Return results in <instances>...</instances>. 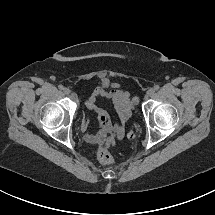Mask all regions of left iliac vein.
<instances>
[{"label": "left iliac vein", "mask_w": 215, "mask_h": 215, "mask_svg": "<svg viewBox=\"0 0 215 215\" xmlns=\"http://www.w3.org/2000/svg\"><path fill=\"white\" fill-rule=\"evenodd\" d=\"M153 94H154V89L151 88V89H149V90L147 91L146 96H147V97H150V96L153 95Z\"/></svg>", "instance_id": "1"}]
</instances>
